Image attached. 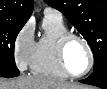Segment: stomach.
<instances>
[{"mask_svg":"<svg viewBox=\"0 0 107 89\" xmlns=\"http://www.w3.org/2000/svg\"><path fill=\"white\" fill-rule=\"evenodd\" d=\"M77 89H81V88H77ZM84 89H88V88H84Z\"/></svg>","mask_w":107,"mask_h":89,"instance_id":"1","label":"stomach"}]
</instances>
